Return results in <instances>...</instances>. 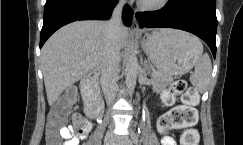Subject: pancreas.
Returning a JSON list of instances; mask_svg holds the SVG:
<instances>
[{
	"label": "pancreas",
	"mask_w": 243,
	"mask_h": 145,
	"mask_svg": "<svg viewBox=\"0 0 243 145\" xmlns=\"http://www.w3.org/2000/svg\"><path fill=\"white\" fill-rule=\"evenodd\" d=\"M171 76H166L162 73H159L157 76H153V82L156 88H163L169 85L172 82Z\"/></svg>",
	"instance_id": "pancreas-1"
}]
</instances>
